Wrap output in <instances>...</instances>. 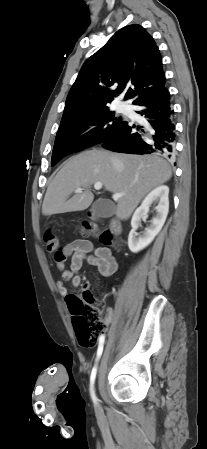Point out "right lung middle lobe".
Here are the masks:
<instances>
[{"mask_svg":"<svg viewBox=\"0 0 207 449\" xmlns=\"http://www.w3.org/2000/svg\"><path fill=\"white\" fill-rule=\"evenodd\" d=\"M123 122L108 108L62 119L55 138L51 165L54 166L69 154L104 142ZM89 126L96 127L83 134Z\"/></svg>","mask_w":207,"mask_h":449,"instance_id":"obj_1","label":"right lung middle lobe"}]
</instances>
